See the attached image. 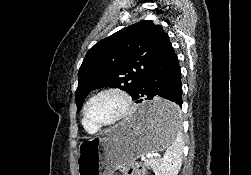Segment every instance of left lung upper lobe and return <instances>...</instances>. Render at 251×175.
I'll use <instances>...</instances> for the list:
<instances>
[{
  "label": "left lung upper lobe",
  "mask_w": 251,
  "mask_h": 175,
  "mask_svg": "<svg viewBox=\"0 0 251 175\" xmlns=\"http://www.w3.org/2000/svg\"><path fill=\"white\" fill-rule=\"evenodd\" d=\"M169 41L161 25L143 20L96 43L78 72L77 112L90 91L117 87L131 96Z\"/></svg>",
  "instance_id": "5c2ea615"
}]
</instances>
